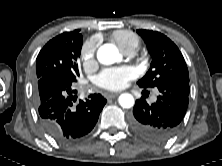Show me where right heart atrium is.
Returning a JSON list of instances; mask_svg holds the SVG:
<instances>
[{"label": "right heart atrium", "mask_w": 222, "mask_h": 166, "mask_svg": "<svg viewBox=\"0 0 222 166\" xmlns=\"http://www.w3.org/2000/svg\"><path fill=\"white\" fill-rule=\"evenodd\" d=\"M96 52V43L94 41L86 42L80 52V60L84 66H88L94 62Z\"/></svg>", "instance_id": "obj_1"}]
</instances>
